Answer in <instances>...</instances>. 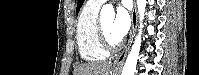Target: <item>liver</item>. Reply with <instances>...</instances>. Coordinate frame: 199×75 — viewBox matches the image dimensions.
<instances>
[{"label":"liver","instance_id":"6515ba94","mask_svg":"<svg viewBox=\"0 0 199 75\" xmlns=\"http://www.w3.org/2000/svg\"><path fill=\"white\" fill-rule=\"evenodd\" d=\"M74 75H112V64L99 62L81 64L75 68Z\"/></svg>","mask_w":199,"mask_h":75}]
</instances>
